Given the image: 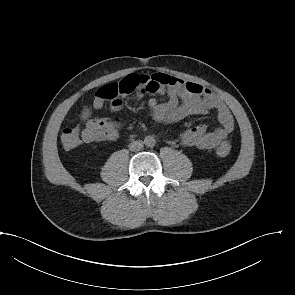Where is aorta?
<instances>
[{"instance_id":"762f6f07","label":"aorta","mask_w":295,"mask_h":295,"mask_svg":"<svg viewBox=\"0 0 295 295\" xmlns=\"http://www.w3.org/2000/svg\"><path fill=\"white\" fill-rule=\"evenodd\" d=\"M144 143L148 146H153L155 144V139L151 136L145 137Z\"/></svg>"}]
</instances>
